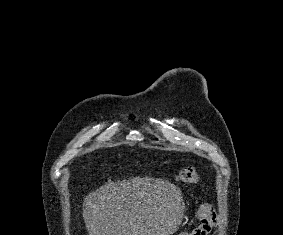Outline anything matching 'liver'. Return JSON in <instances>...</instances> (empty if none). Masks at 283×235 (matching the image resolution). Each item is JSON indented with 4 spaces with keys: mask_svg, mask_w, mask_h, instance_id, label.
Masks as SVG:
<instances>
[{
    "mask_svg": "<svg viewBox=\"0 0 283 235\" xmlns=\"http://www.w3.org/2000/svg\"><path fill=\"white\" fill-rule=\"evenodd\" d=\"M89 235H170L181 223V191L167 180H108L83 202Z\"/></svg>",
    "mask_w": 283,
    "mask_h": 235,
    "instance_id": "obj_1",
    "label": "liver"
}]
</instances>
